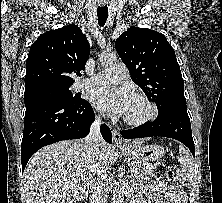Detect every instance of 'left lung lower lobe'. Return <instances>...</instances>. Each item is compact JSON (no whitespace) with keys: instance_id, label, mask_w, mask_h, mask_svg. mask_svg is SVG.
<instances>
[{"instance_id":"obj_1","label":"left lung lower lobe","mask_w":222,"mask_h":203,"mask_svg":"<svg viewBox=\"0 0 222 203\" xmlns=\"http://www.w3.org/2000/svg\"><path fill=\"white\" fill-rule=\"evenodd\" d=\"M120 133L126 139L151 136L173 138L187 146L195 157V147L186 104L170 103L158 110V116L152 123L120 131Z\"/></svg>"}]
</instances>
